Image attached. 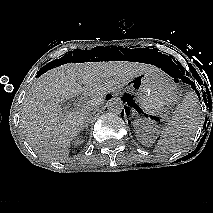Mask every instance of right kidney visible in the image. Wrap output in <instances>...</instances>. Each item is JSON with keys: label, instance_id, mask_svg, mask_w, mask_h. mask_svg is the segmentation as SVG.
Wrapping results in <instances>:
<instances>
[{"label": "right kidney", "instance_id": "right-kidney-1", "mask_svg": "<svg viewBox=\"0 0 213 213\" xmlns=\"http://www.w3.org/2000/svg\"><path fill=\"white\" fill-rule=\"evenodd\" d=\"M83 143V141L82 140H79V139H76L75 141H73V144L75 145V146H79L80 144H82Z\"/></svg>", "mask_w": 213, "mask_h": 213}]
</instances>
